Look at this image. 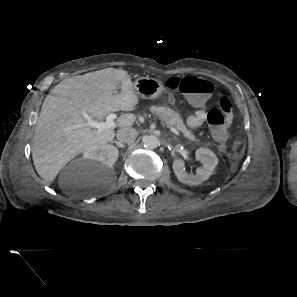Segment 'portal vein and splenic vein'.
Segmentation results:
<instances>
[{"mask_svg": "<svg viewBox=\"0 0 297 297\" xmlns=\"http://www.w3.org/2000/svg\"><path fill=\"white\" fill-rule=\"evenodd\" d=\"M83 116L86 118L87 120V124L91 127H94L97 129L96 133L99 134L105 130L108 129H112L116 127V123L114 122V120L117 118V115L114 113H110L107 117H106V121L105 122H98V121H94L90 118V116L83 111L82 112ZM170 128V130L176 134V135H180L179 131L174 128L173 126H168Z\"/></svg>", "mask_w": 297, "mask_h": 297, "instance_id": "obj_1", "label": "portal vein and splenic vein"}]
</instances>
